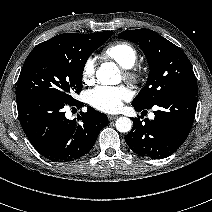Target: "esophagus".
Segmentation results:
<instances>
[{
  "label": "esophagus",
  "mask_w": 212,
  "mask_h": 212,
  "mask_svg": "<svg viewBox=\"0 0 212 212\" xmlns=\"http://www.w3.org/2000/svg\"><path fill=\"white\" fill-rule=\"evenodd\" d=\"M108 118H109V120H115L118 118V116L117 115H109Z\"/></svg>",
  "instance_id": "34e87169"
}]
</instances>
